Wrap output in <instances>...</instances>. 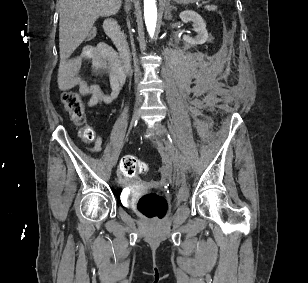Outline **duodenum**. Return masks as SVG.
Instances as JSON below:
<instances>
[{
	"label": "duodenum",
	"instance_id": "410a0bca",
	"mask_svg": "<svg viewBox=\"0 0 308 283\" xmlns=\"http://www.w3.org/2000/svg\"><path fill=\"white\" fill-rule=\"evenodd\" d=\"M104 30L119 52L120 64L125 72L131 71V54L127 43L121 33L119 23L114 18H108L104 22Z\"/></svg>",
	"mask_w": 308,
	"mask_h": 283
}]
</instances>
